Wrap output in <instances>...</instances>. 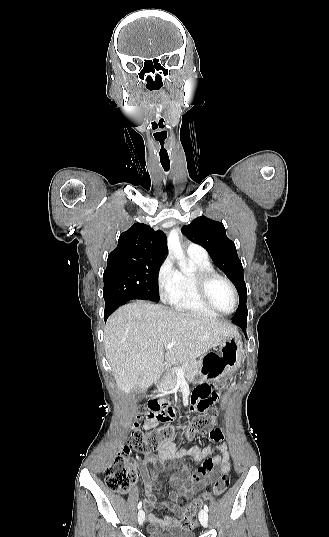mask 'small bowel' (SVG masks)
<instances>
[{
    "label": "small bowel",
    "instance_id": "obj_1",
    "mask_svg": "<svg viewBox=\"0 0 329 537\" xmlns=\"http://www.w3.org/2000/svg\"><path fill=\"white\" fill-rule=\"evenodd\" d=\"M219 396H224V393L217 391V385L213 384L212 379L197 381L195 387L192 389V396L190 398L185 399L182 405L179 402L173 403L172 408H166V412L165 408H160V413L156 416V421L158 423H174L176 421V413L181 408L184 411L192 413L205 412L208 410L210 404H216L218 402L217 398ZM154 426L155 423L153 421L145 423V428L147 429ZM209 436L216 442L223 439L219 430L218 433L215 430L210 431ZM186 457L191 458L197 463L202 462V466L199 470H195L187 465H175L179 470L169 478V483L174 490L169 492L168 497L170 501L166 503L167 509L173 515H164L159 518L151 512L156 504V484L145 472V467L149 462L157 461L162 470H166L170 467L169 462L171 460ZM230 467L229 448L226 442L214 447L192 446L188 449L177 448L172 441L163 443L156 459H144L141 462L146 497L144 507L149 512L147 515L149 532L157 533L165 530L178 531L184 529L179 516L182 514L183 509L181 506L186 504V499L192 498L198 490L211 483L219 474L227 473Z\"/></svg>",
    "mask_w": 329,
    "mask_h": 537
}]
</instances>
